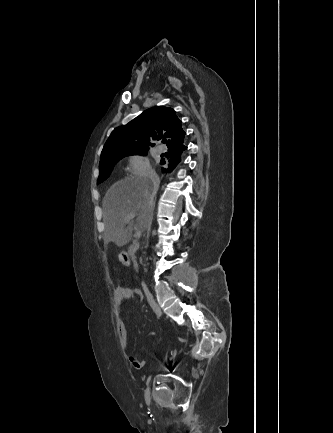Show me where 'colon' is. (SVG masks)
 <instances>
[{
	"mask_svg": "<svg viewBox=\"0 0 333 433\" xmlns=\"http://www.w3.org/2000/svg\"><path fill=\"white\" fill-rule=\"evenodd\" d=\"M117 256L118 257H120L119 259H118V262L121 264V265H124V266H127V265H129V262H128V259L124 256V251L123 250H118L117 251Z\"/></svg>",
	"mask_w": 333,
	"mask_h": 433,
	"instance_id": "5ec220e1",
	"label": "colon"
}]
</instances>
